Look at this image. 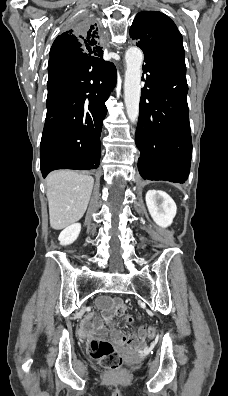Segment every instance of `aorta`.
Returning a JSON list of instances; mask_svg holds the SVG:
<instances>
[{
	"label": "aorta",
	"mask_w": 228,
	"mask_h": 396,
	"mask_svg": "<svg viewBox=\"0 0 228 396\" xmlns=\"http://www.w3.org/2000/svg\"><path fill=\"white\" fill-rule=\"evenodd\" d=\"M143 58L142 51L137 47H130L125 54L124 102L127 116L132 123H136L139 116Z\"/></svg>",
	"instance_id": "1"
}]
</instances>
